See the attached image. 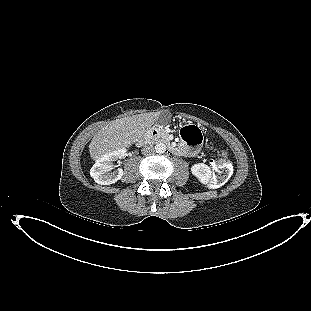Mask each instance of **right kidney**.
Masks as SVG:
<instances>
[{
  "label": "right kidney",
  "mask_w": 311,
  "mask_h": 311,
  "mask_svg": "<svg viewBox=\"0 0 311 311\" xmlns=\"http://www.w3.org/2000/svg\"><path fill=\"white\" fill-rule=\"evenodd\" d=\"M125 152V148H120L99 158L90 170L94 181L101 185H110L120 180L124 173L122 168H118L113 173H110L109 170L114 166L113 161L124 156Z\"/></svg>",
  "instance_id": "1"
}]
</instances>
